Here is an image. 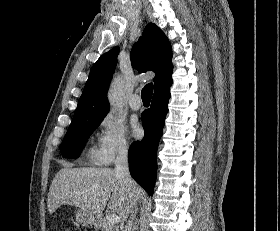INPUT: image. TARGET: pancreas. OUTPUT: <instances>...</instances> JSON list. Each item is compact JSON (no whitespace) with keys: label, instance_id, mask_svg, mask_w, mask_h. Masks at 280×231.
Returning a JSON list of instances; mask_svg holds the SVG:
<instances>
[{"label":"pancreas","instance_id":"1","mask_svg":"<svg viewBox=\"0 0 280 231\" xmlns=\"http://www.w3.org/2000/svg\"><path fill=\"white\" fill-rule=\"evenodd\" d=\"M102 231H119L118 225H115V223H110L106 217H103V219H100Z\"/></svg>","mask_w":280,"mask_h":231}]
</instances>
